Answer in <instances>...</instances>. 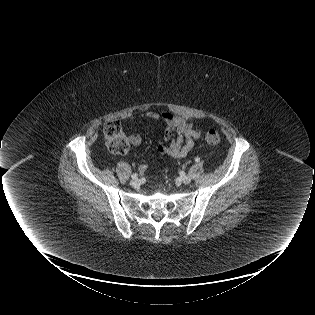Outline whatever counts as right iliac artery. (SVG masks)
<instances>
[{
	"label": "right iliac artery",
	"mask_w": 315,
	"mask_h": 315,
	"mask_svg": "<svg viewBox=\"0 0 315 315\" xmlns=\"http://www.w3.org/2000/svg\"><path fill=\"white\" fill-rule=\"evenodd\" d=\"M131 177H132L133 179H136V178L138 177V174H137V173H133V174L131 175Z\"/></svg>",
	"instance_id": "1"
}]
</instances>
